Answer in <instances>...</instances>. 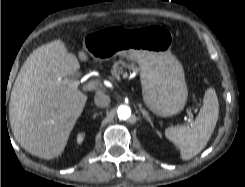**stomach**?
Instances as JSON below:
<instances>
[{
    "label": "stomach",
    "mask_w": 245,
    "mask_h": 187,
    "mask_svg": "<svg viewBox=\"0 0 245 187\" xmlns=\"http://www.w3.org/2000/svg\"><path fill=\"white\" fill-rule=\"evenodd\" d=\"M171 42L172 34L161 26H113L87 34L83 48L95 60L123 56L137 62L146 106L169 117L183 110L188 96L184 70L170 51Z\"/></svg>",
    "instance_id": "0dacf381"
}]
</instances>
